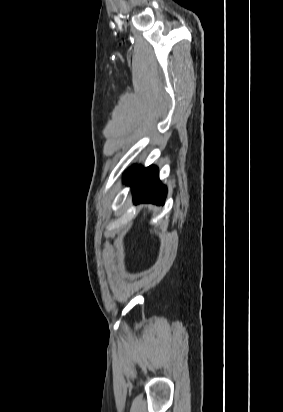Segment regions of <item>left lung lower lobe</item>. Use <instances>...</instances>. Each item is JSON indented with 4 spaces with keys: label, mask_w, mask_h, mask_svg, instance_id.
I'll return each mask as SVG.
<instances>
[{
    "label": "left lung lower lobe",
    "mask_w": 283,
    "mask_h": 412,
    "mask_svg": "<svg viewBox=\"0 0 283 412\" xmlns=\"http://www.w3.org/2000/svg\"><path fill=\"white\" fill-rule=\"evenodd\" d=\"M133 192L134 203L164 204L167 190L159 181L158 168L138 166L126 181Z\"/></svg>",
    "instance_id": "left-lung-lower-lobe-1"
}]
</instances>
